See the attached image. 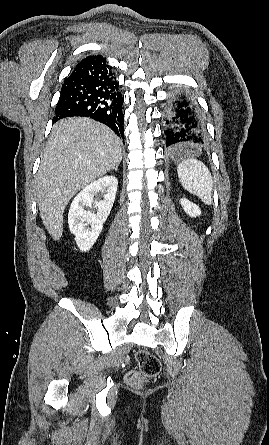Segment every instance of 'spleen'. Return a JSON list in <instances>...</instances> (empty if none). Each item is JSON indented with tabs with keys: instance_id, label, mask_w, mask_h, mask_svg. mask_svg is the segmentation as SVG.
Returning a JSON list of instances; mask_svg holds the SVG:
<instances>
[{
	"instance_id": "1",
	"label": "spleen",
	"mask_w": 269,
	"mask_h": 445,
	"mask_svg": "<svg viewBox=\"0 0 269 445\" xmlns=\"http://www.w3.org/2000/svg\"><path fill=\"white\" fill-rule=\"evenodd\" d=\"M177 172L184 189L199 197L205 204H211L213 180L204 163L187 159L178 165Z\"/></svg>"
}]
</instances>
